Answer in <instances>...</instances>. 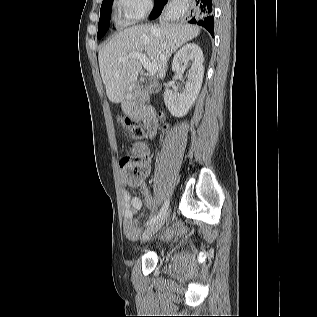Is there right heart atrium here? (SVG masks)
<instances>
[{
    "instance_id": "1",
    "label": "right heart atrium",
    "mask_w": 317,
    "mask_h": 317,
    "mask_svg": "<svg viewBox=\"0 0 317 317\" xmlns=\"http://www.w3.org/2000/svg\"><path fill=\"white\" fill-rule=\"evenodd\" d=\"M121 23L129 26L141 21L151 10L152 0H115Z\"/></svg>"
}]
</instances>
